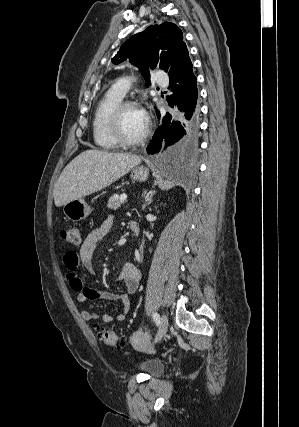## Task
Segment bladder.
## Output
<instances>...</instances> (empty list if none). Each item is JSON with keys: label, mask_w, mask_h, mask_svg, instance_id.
I'll return each instance as SVG.
<instances>
[{"label": "bladder", "mask_w": 299, "mask_h": 427, "mask_svg": "<svg viewBox=\"0 0 299 427\" xmlns=\"http://www.w3.org/2000/svg\"><path fill=\"white\" fill-rule=\"evenodd\" d=\"M137 369L150 377H158L164 372L165 365L161 361L149 359L139 363Z\"/></svg>", "instance_id": "bladder-1"}]
</instances>
